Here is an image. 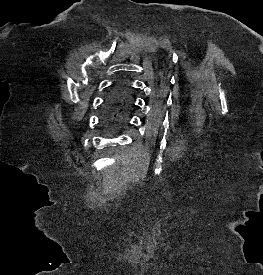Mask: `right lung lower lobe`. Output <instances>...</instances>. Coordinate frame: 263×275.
Masks as SVG:
<instances>
[{"label": "right lung lower lobe", "mask_w": 263, "mask_h": 275, "mask_svg": "<svg viewBox=\"0 0 263 275\" xmlns=\"http://www.w3.org/2000/svg\"><path fill=\"white\" fill-rule=\"evenodd\" d=\"M122 90H123V87L121 86V84H117L116 86H114L111 89L106 99L105 106L103 108L102 123H103V126L109 131H114L120 128L121 126H123L125 123V122H122L119 125H117L112 120V115L115 110L116 102L118 101Z\"/></svg>", "instance_id": "1"}]
</instances>
